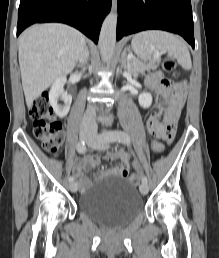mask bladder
Instances as JSON below:
<instances>
[{
	"instance_id": "bladder-1",
	"label": "bladder",
	"mask_w": 219,
	"mask_h": 258,
	"mask_svg": "<svg viewBox=\"0 0 219 258\" xmlns=\"http://www.w3.org/2000/svg\"><path fill=\"white\" fill-rule=\"evenodd\" d=\"M78 208L104 225L120 227L143 210L144 202L125 179L106 174L80 194Z\"/></svg>"
}]
</instances>
